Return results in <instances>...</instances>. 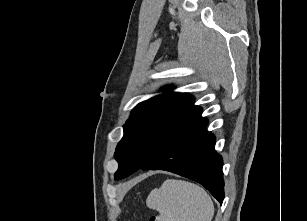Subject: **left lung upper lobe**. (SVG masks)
Here are the masks:
<instances>
[{"label": "left lung upper lobe", "mask_w": 307, "mask_h": 221, "mask_svg": "<svg viewBox=\"0 0 307 221\" xmlns=\"http://www.w3.org/2000/svg\"><path fill=\"white\" fill-rule=\"evenodd\" d=\"M193 102L187 93L167 92L139 103L124 125L123 138L114 153L119 163L115 179L142 168L173 139L201 121L202 109Z\"/></svg>", "instance_id": "5c2ea615"}]
</instances>
